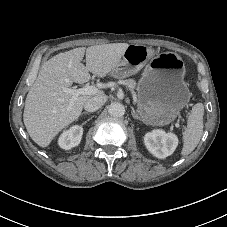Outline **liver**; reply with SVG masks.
<instances>
[{
  "label": "liver",
  "mask_w": 227,
  "mask_h": 227,
  "mask_svg": "<svg viewBox=\"0 0 227 227\" xmlns=\"http://www.w3.org/2000/svg\"><path fill=\"white\" fill-rule=\"evenodd\" d=\"M127 43H110L79 47L57 54L45 62L30 88L23 113V121L32 140L47 147L53 138L81 115L85 102L94 95H79L70 104L72 95L65 92L73 82L83 84L90 80V73L105 77L119 64ZM86 56V66L81 63Z\"/></svg>",
  "instance_id": "6515ba94"
}]
</instances>
